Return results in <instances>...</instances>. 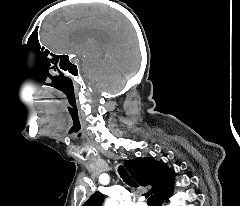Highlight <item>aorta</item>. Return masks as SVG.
Listing matches in <instances>:
<instances>
[{"instance_id":"aorta-1","label":"aorta","mask_w":240,"mask_h":206,"mask_svg":"<svg viewBox=\"0 0 240 206\" xmlns=\"http://www.w3.org/2000/svg\"><path fill=\"white\" fill-rule=\"evenodd\" d=\"M117 202L116 200H114L113 198H108L106 199L104 206H117Z\"/></svg>"}]
</instances>
